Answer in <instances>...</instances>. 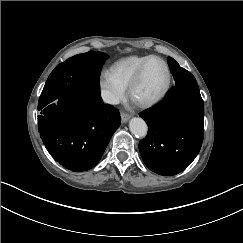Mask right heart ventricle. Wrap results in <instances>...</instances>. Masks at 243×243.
I'll use <instances>...</instances> for the list:
<instances>
[{
    "instance_id": "obj_1",
    "label": "right heart ventricle",
    "mask_w": 243,
    "mask_h": 243,
    "mask_svg": "<svg viewBox=\"0 0 243 243\" xmlns=\"http://www.w3.org/2000/svg\"><path fill=\"white\" fill-rule=\"evenodd\" d=\"M153 57L158 56L154 54H131L115 61L112 67L119 81L128 88L142 63Z\"/></svg>"
}]
</instances>
